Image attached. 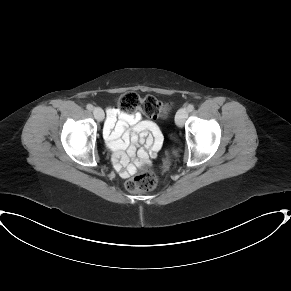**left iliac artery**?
<instances>
[{
    "mask_svg": "<svg viewBox=\"0 0 291 291\" xmlns=\"http://www.w3.org/2000/svg\"><path fill=\"white\" fill-rule=\"evenodd\" d=\"M187 110H188L189 112L193 111V110H194V105H193V104H189V105L187 106Z\"/></svg>",
    "mask_w": 291,
    "mask_h": 291,
    "instance_id": "44dca946",
    "label": "left iliac artery"
}]
</instances>
